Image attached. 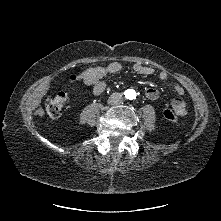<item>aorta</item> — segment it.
I'll return each mask as SVG.
<instances>
[{"label": "aorta", "mask_w": 221, "mask_h": 221, "mask_svg": "<svg viewBox=\"0 0 221 221\" xmlns=\"http://www.w3.org/2000/svg\"><path fill=\"white\" fill-rule=\"evenodd\" d=\"M127 94H128V97L131 98V99H135L138 95V93H136V91H134V90L128 91Z\"/></svg>", "instance_id": "762f6f07"}]
</instances>
